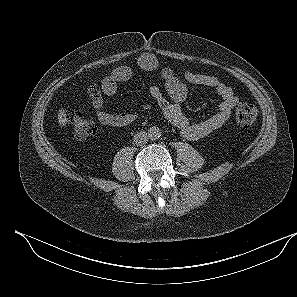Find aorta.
Wrapping results in <instances>:
<instances>
[{
  "label": "aorta",
  "mask_w": 297,
  "mask_h": 297,
  "mask_svg": "<svg viewBox=\"0 0 297 297\" xmlns=\"http://www.w3.org/2000/svg\"><path fill=\"white\" fill-rule=\"evenodd\" d=\"M148 135L151 139H158L160 136H161V131L158 127H151L149 130H148Z\"/></svg>",
  "instance_id": "aorta-1"
}]
</instances>
